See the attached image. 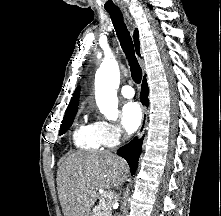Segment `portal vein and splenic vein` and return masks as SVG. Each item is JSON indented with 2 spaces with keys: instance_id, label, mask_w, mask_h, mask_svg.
<instances>
[{
  "instance_id": "1",
  "label": "portal vein and splenic vein",
  "mask_w": 221,
  "mask_h": 216,
  "mask_svg": "<svg viewBox=\"0 0 221 216\" xmlns=\"http://www.w3.org/2000/svg\"><path fill=\"white\" fill-rule=\"evenodd\" d=\"M103 197L109 200V198L113 197V192L112 191H105L103 193Z\"/></svg>"
}]
</instances>
